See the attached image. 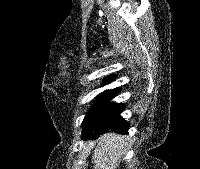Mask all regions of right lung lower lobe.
<instances>
[{
    "label": "right lung lower lobe",
    "mask_w": 200,
    "mask_h": 169,
    "mask_svg": "<svg viewBox=\"0 0 200 169\" xmlns=\"http://www.w3.org/2000/svg\"><path fill=\"white\" fill-rule=\"evenodd\" d=\"M119 92L120 89H114L110 99L83 125L82 137L84 139H96L111 131L119 134L127 133L129 123L120 116L124 104L110 102Z\"/></svg>",
    "instance_id": "obj_1"
}]
</instances>
